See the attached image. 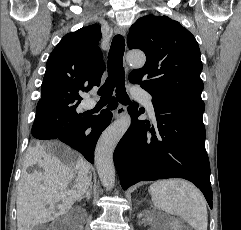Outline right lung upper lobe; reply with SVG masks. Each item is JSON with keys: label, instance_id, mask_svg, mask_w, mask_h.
<instances>
[{"label": "right lung upper lobe", "instance_id": "1", "mask_svg": "<svg viewBox=\"0 0 241 230\" xmlns=\"http://www.w3.org/2000/svg\"><path fill=\"white\" fill-rule=\"evenodd\" d=\"M99 25L66 34L52 51L47 64L37 107L79 104L80 94L99 86L105 71Z\"/></svg>", "mask_w": 241, "mask_h": 230}]
</instances>
